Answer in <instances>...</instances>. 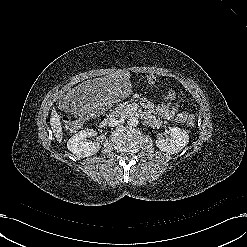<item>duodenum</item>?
I'll return each mask as SVG.
<instances>
[{
	"label": "duodenum",
	"mask_w": 247,
	"mask_h": 247,
	"mask_svg": "<svg viewBox=\"0 0 247 247\" xmlns=\"http://www.w3.org/2000/svg\"><path fill=\"white\" fill-rule=\"evenodd\" d=\"M142 105H143V102H142ZM144 107V106H143ZM145 108V107H144ZM134 113H136V111H134ZM115 119V117H108V118H106L104 121H103V124H106V123H108V122H111L112 120H114Z\"/></svg>",
	"instance_id": "410a0bca"
}]
</instances>
